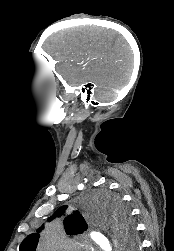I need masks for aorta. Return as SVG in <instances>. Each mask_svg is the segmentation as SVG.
<instances>
[{
    "label": "aorta",
    "instance_id": "1",
    "mask_svg": "<svg viewBox=\"0 0 174 251\" xmlns=\"http://www.w3.org/2000/svg\"><path fill=\"white\" fill-rule=\"evenodd\" d=\"M93 212V209L90 210ZM90 221L94 226L90 236L91 238L100 245L104 251H134L135 248L128 243L122 235V232L115 226V221L111 217L110 219L100 217L93 218L90 216ZM111 229L112 236L114 237V246L112 247L108 240L104 238L100 230ZM64 244L63 234L59 226L51 225L46 228L42 234L41 246L44 251H55L60 250Z\"/></svg>",
    "mask_w": 174,
    "mask_h": 251
}]
</instances>
